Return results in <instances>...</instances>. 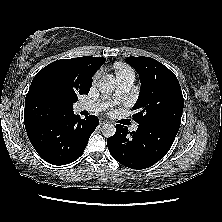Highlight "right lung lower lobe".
Returning <instances> with one entry per match:
<instances>
[{
	"label": "right lung lower lobe",
	"mask_w": 222,
	"mask_h": 222,
	"mask_svg": "<svg viewBox=\"0 0 222 222\" xmlns=\"http://www.w3.org/2000/svg\"><path fill=\"white\" fill-rule=\"evenodd\" d=\"M99 124L96 116L80 119L74 113L46 120L27 131L37 153L48 163L65 165L83 153L90 135Z\"/></svg>",
	"instance_id": "1"
}]
</instances>
